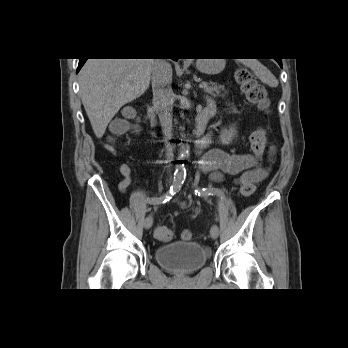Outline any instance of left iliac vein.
Wrapping results in <instances>:
<instances>
[{
	"mask_svg": "<svg viewBox=\"0 0 348 348\" xmlns=\"http://www.w3.org/2000/svg\"><path fill=\"white\" fill-rule=\"evenodd\" d=\"M210 235L213 239H216L219 235V228L216 224H214L210 229Z\"/></svg>",
	"mask_w": 348,
	"mask_h": 348,
	"instance_id": "4c4485c4",
	"label": "left iliac vein"
}]
</instances>
